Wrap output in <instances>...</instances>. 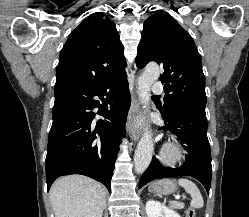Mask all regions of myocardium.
<instances>
[{
    "label": "myocardium",
    "instance_id": "1",
    "mask_svg": "<svg viewBox=\"0 0 249 217\" xmlns=\"http://www.w3.org/2000/svg\"><path fill=\"white\" fill-rule=\"evenodd\" d=\"M185 151L183 147L174 141H169L164 144L160 157L162 161L167 165H176L182 161L184 158Z\"/></svg>",
    "mask_w": 249,
    "mask_h": 217
}]
</instances>
